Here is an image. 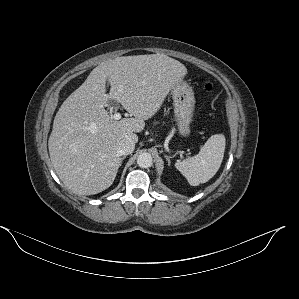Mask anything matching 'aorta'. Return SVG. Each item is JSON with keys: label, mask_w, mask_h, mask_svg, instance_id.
<instances>
[{"label": "aorta", "mask_w": 299, "mask_h": 299, "mask_svg": "<svg viewBox=\"0 0 299 299\" xmlns=\"http://www.w3.org/2000/svg\"><path fill=\"white\" fill-rule=\"evenodd\" d=\"M153 159L151 154L144 152L137 157V164L141 168H149L152 166Z\"/></svg>", "instance_id": "1"}]
</instances>
